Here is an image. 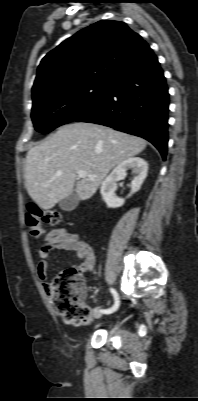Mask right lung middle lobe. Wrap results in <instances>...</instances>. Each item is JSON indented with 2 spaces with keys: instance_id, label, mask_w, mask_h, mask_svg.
<instances>
[{
  "instance_id": "obj_1",
  "label": "right lung middle lobe",
  "mask_w": 198,
  "mask_h": 401,
  "mask_svg": "<svg viewBox=\"0 0 198 401\" xmlns=\"http://www.w3.org/2000/svg\"><path fill=\"white\" fill-rule=\"evenodd\" d=\"M109 82H86L41 95L33 100L34 127L48 133L72 122L91 109L103 96Z\"/></svg>"
}]
</instances>
